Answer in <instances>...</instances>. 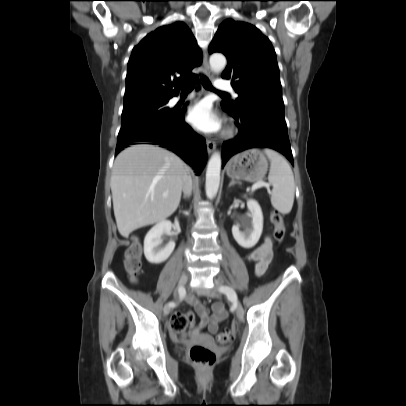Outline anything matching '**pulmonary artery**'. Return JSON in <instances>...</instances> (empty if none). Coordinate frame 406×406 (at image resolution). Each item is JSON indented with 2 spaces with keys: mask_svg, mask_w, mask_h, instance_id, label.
<instances>
[{
  "mask_svg": "<svg viewBox=\"0 0 406 406\" xmlns=\"http://www.w3.org/2000/svg\"><path fill=\"white\" fill-rule=\"evenodd\" d=\"M215 87H216L217 90L231 91V92L234 94V96H236V93H235L234 90L232 89V86H231L230 81L227 80V79H218V80L216 81V83H215ZM187 98H188V97H187ZM187 98H182V97H180V96H176V97H174V98L172 99V103H173V104H176V103H178V102H180V101H182V100H184V99H187Z\"/></svg>",
  "mask_w": 406,
  "mask_h": 406,
  "instance_id": "pulmonary-artery-1",
  "label": "pulmonary artery"
}]
</instances>
